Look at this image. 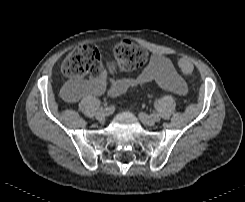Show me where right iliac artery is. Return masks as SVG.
Wrapping results in <instances>:
<instances>
[{"mask_svg":"<svg viewBox=\"0 0 245 202\" xmlns=\"http://www.w3.org/2000/svg\"><path fill=\"white\" fill-rule=\"evenodd\" d=\"M105 110H107L109 112V114H110V113H112L115 110V107L112 106V105L111 106H106Z\"/></svg>","mask_w":245,"mask_h":202,"instance_id":"1","label":"right iliac artery"}]
</instances>
